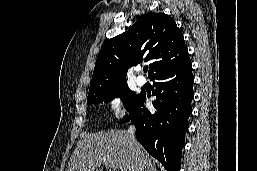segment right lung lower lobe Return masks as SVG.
<instances>
[{
	"instance_id": "1",
	"label": "right lung lower lobe",
	"mask_w": 257,
	"mask_h": 171,
	"mask_svg": "<svg viewBox=\"0 0 257 171\" xmlns=\"http://www.w3.org/2000/svg\"><path fill=\"white\" fill-rule=\"evenodd\" d=\"M154 81V112L145 105L141 94L134 106L119 123L129 119L136 125V138L147 152L158 159L167 171H180L188 118L194 97L192 63L188 58L179 66L151 77Z\"/></svg>"
}]
</instances>
